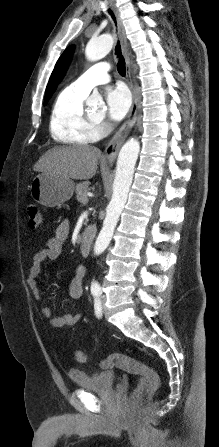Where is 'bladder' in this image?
Here are the masks:
<instances>
[{"label": "bladder", "instance_id": "bladder-1", "mask_svg": "<svg viewBox=\"0 0 219 447\" xmlns=\"http://www.w3.org/2000/svg\"><path fill=\"white\" fill-rule=\"evenodd\" d=\"M69 377L80 389L92 392H104L110 390L116 381V374L111 370L87 372L83 370H70Z\"/></svg>", "mask_w": 219, "mask_h": 447}]
</instances>
